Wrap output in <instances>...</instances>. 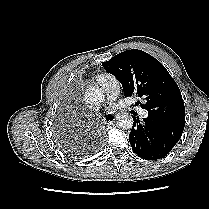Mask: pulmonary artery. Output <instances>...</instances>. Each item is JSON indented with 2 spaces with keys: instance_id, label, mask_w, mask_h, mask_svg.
<instances>
[{
  "instance_id": "pulmonary-artery-1",
  "label": "pulmonary artery",
  "mask_w": 209,
  "mask_h": 209,
  "mask_svg": "<svg viewBox=\"0 0 209 209\" xmlns=\"http://www.w3.org/2000/svg\"><path fill=\"white\" fill-rule=\"evenodd\" d=\"M97 82L104 89L107 96V102H113L120 91V85L116 77L108 73L101 74L97 77ZM140 115L142 118H146L148 116L147 110H141Z\"/></svg>"
}]
</instances>
